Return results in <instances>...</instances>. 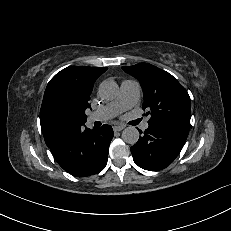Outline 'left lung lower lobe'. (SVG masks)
<instances>
[{"mask_svg":"<svg viewBox=\"0 0 231 231\" xmlns=\"http://www.w3.org/2000/svg\"><path fill=\"white\" fill-rule=\"evenodd\" d=\"M188 133L189 129L171 123L149 122L143 136L131 147L134 162L149 171L166 168L180 153Z\"/></svg>","mask_w":231,"mask_h":231,"instance_id":"1","label":"left lung lower lobe"}]
</instances>
